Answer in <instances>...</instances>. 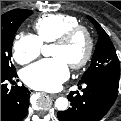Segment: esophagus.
<instances>
[{"label": "esophagus", "mask_w": 121, "mask_h": 121, "mask_svg": "<svg viewBox=\"0 0 121 121\" xmlns=\"http://www.w3.org/2000/svg\"><path fill=\"white\" fill-rule=\"evenodd\" d=\"M58 96H59L58 94H51V95H50V97H51V98H54V99L57 98Z\"/></svg>", "instance_id": "1"}]
</instances>
